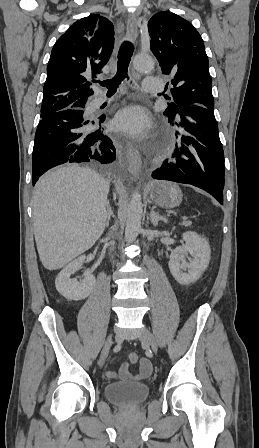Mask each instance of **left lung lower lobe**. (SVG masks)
Instances as JSON below:
<instances>
[{"label":"left lung lower lobe","mask_w":259,"mask_h":448,"mask_svg":"<svg viewBox=\"0 0 259 448\" xmlns=\"http://www.w3.org/2000/svg\"><path fill=\"white\" fill-rule=\"evenodd\" d=\"M184 133L172 157L152 173L155 179L187 183L199 187L223 203L224 152L214 109L191 105L169 117ZM176 132V135H179Z\"/></svg>","instance_id":"1"}]
</instances>
